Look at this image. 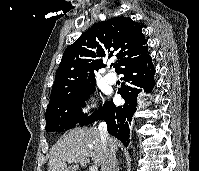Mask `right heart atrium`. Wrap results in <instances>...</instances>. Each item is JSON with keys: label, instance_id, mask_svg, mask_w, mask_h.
I'll return each instance as SVG.
<instances>
[{"label": "right heart atrium", "instance_id": "1", "mask_svg": "<svg viewBox=\"0 0 199 171\" xmlns=\"http://www.w3.org/2000/svg\"><path fill=\"white\" fill-rule=\"evenodd\" d=\"M95 107V102L88 96L80 102V109L84 114H89Z\"/></svg>", "mask_w": 199, "mask_h": 171}]
</instances>
